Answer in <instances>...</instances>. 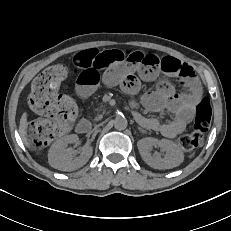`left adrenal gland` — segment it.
I'll use <instances>...</instances> for the list:
<instances>
[{"label":"left adrenal gland","mask_w":231,"mask_h":231,"mask_svg":"<svg viewBox=\"0 0 231 231\" xmlns=\"http://www.w3.org/2000/svg\"><path fill=\"white\" fill-rule=\"evenodd\" d=\"M138 130L142 133H146V131L144 129H142L141 127H138Z\"/></svg>","instance_id":"1"}]
</instances>
